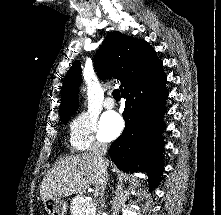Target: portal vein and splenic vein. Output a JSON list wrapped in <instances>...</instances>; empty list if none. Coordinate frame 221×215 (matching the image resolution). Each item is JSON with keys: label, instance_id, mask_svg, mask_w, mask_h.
I'll list each match as a JSON object with an SVG mask.
<instances>
[{"label": "portal vein and splenic vein", "instance_id": "18ae733b", "mask_svg": "<svg viewBox=\"0 0 221 215\" xmlns=\"http://www.w3.org/2000/svg\"><path fill=\"white\" fill-rule=\"evenodd\" d=\"M91 201V197H85V199L83 200V202H89Z\"/></svg>", "mask_w": 221, "mask_h": 215}]
</instances>
